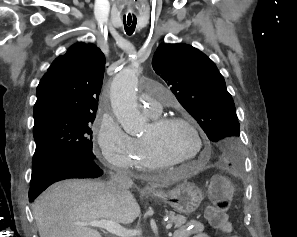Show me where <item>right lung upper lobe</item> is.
I'll return each mask as SVG.
<instances>
[{
    "label": "right lung upper lobe",
    "mask_w": 297,
    "mask_h": 237,
    "mask_svg": "<svg viewBox=\"0 0 297 237\" xmlns=\"http://www.w3.org/2000/svg\"><path fill=\"white\" fill-rule=\"evenodd\" d=\"M104 66V54L93 44H75L56 58L37 86L35 123L51 115L96 113Z\"/></svg>",
    "instance_id": "cb5924a9"
}]
</instances>
